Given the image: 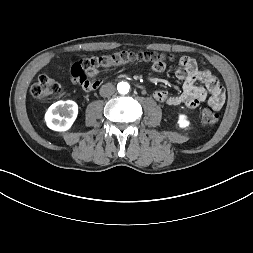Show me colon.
<instances>
[{"mask_svg": "<svg viewBox=\"0 0 253 253\" xmlns=\"http://www.w3.org/2000/svg\"><path fill=\"white\" fill-rule=\"evenodd\" d=\"M169 54L150 52V51H117L112 53H102L92 55L88 58L75 62L68 75L69 80L77 89L95 90L103 82V77L97 74L100 69H107L113 66H119L129 63H150L153 60H172ZM62 92V86L59 82L47 75H40L31 87V94L36 99H46L57 96ZM219 115L215 108L208 105L203 108L201 120L204 126L213 127L217 124Z\"/></svg>", "mask_w": 253, "mask_h": 253, "instance_id": "obj_1", "label": "colon"}]
</instances>
